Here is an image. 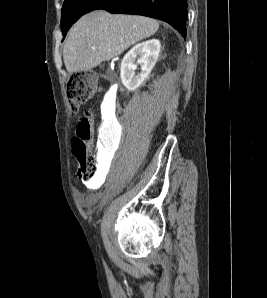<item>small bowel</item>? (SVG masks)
Masks as SVG:
<instances>
[{
	"instance_id": "1",
	"label": "small bowel",
	"mask_w": 267,
	"mask_h": 298,
	"mask_svg": "<svg viewBox=\"0 0 267 298\" xmlns=\"http://www.w3.org/2000/svg\"><path fill=\"white\" fill-rule=\"evenodd\" d=\"M104 142L102 143V146L104 147ZM77 199L79 203L87 208H91L95 201L97 200V196L95 194H83V193H78L77 194Z\"/></svg>"
}]
</instances>
